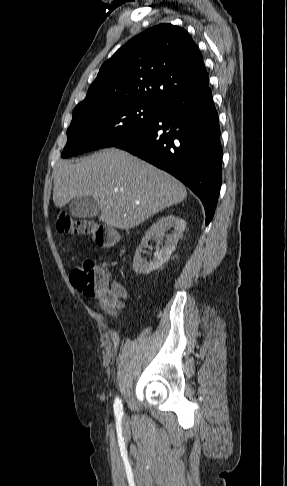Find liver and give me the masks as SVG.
<instances>
[{
    "label": "liver",
    "mask_w": 287,
    "mask_h": 486,
    "mask_svg": "<svg viewBox=\"0 0 287 486\" xmlns=\"http://www.w3.org/2000/svg\"><path fill=\"white\" fill-rule=\"evenodd\" d=\"M92 197L99 220L131 229L187 196L184 185L170 174L116 148L72 161L61 160L54 172L53 201L64 207L76 197Z\"/></svg>",
    "instance_id": "liver-1"
}]
</instances>
